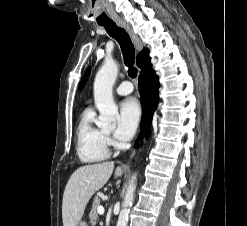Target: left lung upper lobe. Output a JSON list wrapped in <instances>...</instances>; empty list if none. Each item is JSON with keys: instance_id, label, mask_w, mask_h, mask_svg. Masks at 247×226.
Wrapping results in <instances>:
<instances>
[{"instance_id": "5c2ea615", "label": "left lung upper lobe", "mask_w": 247, "mask_h": 226, "mask_svg": "<svg viewBox=\"0 0 247 226\" xmlns=\"http://www.w3.org/2000/svg\"><path fill=\"white\" fill-rule=\"evenodd\" d=\"M89 72H90V69H88V70L86 71L85 76L83 77L82 81L80 82L79 89L82 88V87H84L85 81H86V79H87V77H88V75H89Z\"/></svg>"}]
</instances>
